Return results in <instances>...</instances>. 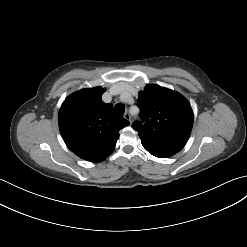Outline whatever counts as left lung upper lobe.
Returning <instances> with one entry per match:
<instances>
[{
	"label": "left lung upper lobe",
	"mask_w": 247,
	"mask_h": 247,
	"mask_svg": "<svg viewBox=\"0 0 247 247\" xmlns=\"http://www.w3.org/2000/svg\"><path fill=\"white\" fill-rule=\"evenodd\" d=\"M137 106L144 124H132L148 152L172 156L186 144L193 125V112L181 94L149 84L139 92Z\"/></svg>",
	"instance_id": "left-lung-upper-lobe-1"
}]
</instances>
